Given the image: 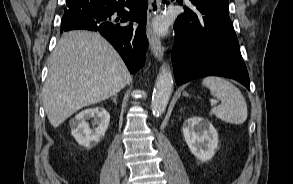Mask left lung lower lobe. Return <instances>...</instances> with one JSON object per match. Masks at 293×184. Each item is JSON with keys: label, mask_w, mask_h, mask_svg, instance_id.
Wrapping results in <instances>:
<instances>
[{"label": "left lung lower lobe", "mask_w": 293, "mask_h": 184, "mask_svg": "<svg viewBox=\"0 0 293 184\" xmlns=\"http://www.w3.org/2000/svg\"><path fill=\"white\" fill-rule=\"evenodd\" d=\"M174 24L172 63L176 83L203 76L235 79L250 89L249 76L229 10L204 0H190Z\"/></svg>", "instance_id": "left-lung-lower-lobe-1"}]
</instances>
